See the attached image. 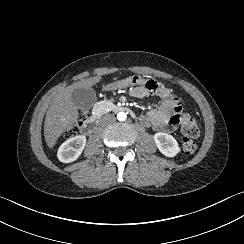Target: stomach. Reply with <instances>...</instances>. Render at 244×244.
Listing matches in <instances>:
<instances>
[{
	"label": "stomach",
	"instance_id": "0dacf381",
	"mask_svg": "<svg viewBox=\"0 0 244 244\" xmlns=\"http://www.w3.org/2000/svg\"><path fill=\"white\" fill-rule=\"evenodd\" d=\"M144 81L145 80H144L143 77L135 75V76L129 77V78L125 79V80L108 83V84H106V85H104L102 87V90L104 92L116 91V90H120V89H123V88H129V87H132V86L141 85V84L144 83Z\"/></svg>",
	"mask_w": 244,
	"mask_h": 244
}]
</instances>
